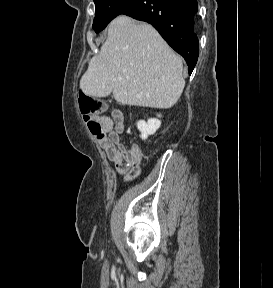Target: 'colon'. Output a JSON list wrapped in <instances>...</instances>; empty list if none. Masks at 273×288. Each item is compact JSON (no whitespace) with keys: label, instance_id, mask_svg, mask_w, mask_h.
I'll return each mask as SVG.
<instances>
[{"label":"colon","instance_id":"5ec220e1","mask_svg":"<svg viewBox=\"0 0 273 288\" xmlns=\"http://www.w3.org/2000/svg\"><path fill=\"white\" fill-rule=\"evenodd\" d=\"M79 106L90 132L96 137L103 136L104 134L98 118L106 111L105 102L95 97L80 94Z\"/></svg>","mask_w":273,"mask_h":288}]
</instances>
